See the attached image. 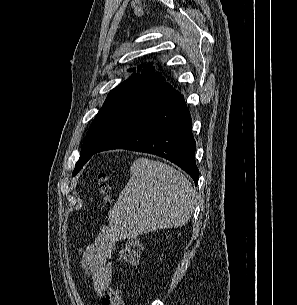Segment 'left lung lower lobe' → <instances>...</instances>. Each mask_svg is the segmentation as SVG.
Here are the masks:
<instances>
[{
  "mask_svg": "<svg viewBox=\"0 0 297 305\" xmlns=\"http://www.w3.org/2000/svg\"><path fill=\"white\" fill-rule=\"evenodd\" d=\"M163 80L153 82L134 98L94 154L113 149L155 154L178 165L197 185L190 112L183 96Z\"/></svg>",
  "mask_w": 297,
  "mask_h": 305,
  "instance_id": "obj_1",
  "label": "left lung lower lobe"
}]
</instances>
